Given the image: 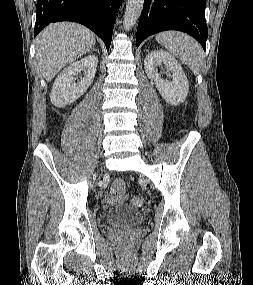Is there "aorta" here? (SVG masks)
<instances>
[{"label":"aorta","mask_w":253,"mask_h":285,"mask_svg":"<svg viewBox=\"0 0 253 285\" xmlns=\"http://www.w3.org/2000/svg\"><path fill=\"white\" fill-rule=\"evenodd\" d=\"M144 0H127L123 25L126 31L132 29L143 10Z\"/></svg>","instance_id":"aorta-1"}]
</instances>
